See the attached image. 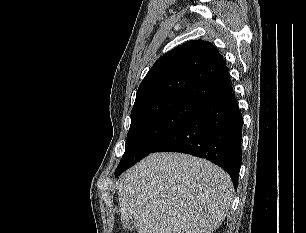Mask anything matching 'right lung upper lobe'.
Returning <instances> with one entry per match:
<instances>
[{
    "mask_svg": "<svg viewBox=\"0 0 306 233\" xmlns=\"http://www.w3.org/2000/svg\"><path fill=\"white\" fill-rule=\"evenodd\" d=\"M232 90L229 72L216 47L189 41L162 56L141 82L132 111L163 98H184L202 106Z\"/></svg>",
    "mask_w": 306,
    "mask_h": 233,
    "instance_id": "cb5924a9",
    "label": "right lung upper lobe"
}]
</instances>
